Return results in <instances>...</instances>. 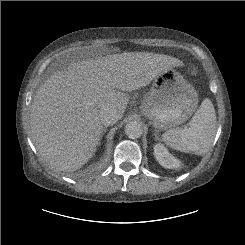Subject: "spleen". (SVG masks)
<instances>
[{
	"label": "spleen",
	"mask_w": 245,
	"mask_h": 245,
	"mask_svg": "<svg viewBox=\"0 0 245 245\" xmlns=\"http://www.w3.org/2000/svg\"><path fill=\"white\" fill-rule=\"evenodd\" d=\"M216 129L215 109L211 100L206 98L190 120L189 127L167 130L162 140L176 150L203 155L210 149Z\"/></svg>",
	"instance_id": "spleen-1"
}]
</instances>
